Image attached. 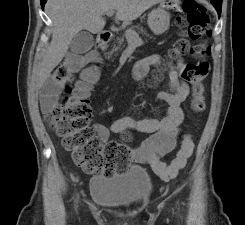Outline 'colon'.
Returning <instances> with one entry per match:
<instances>
[{
  "label": "colon",
  "mask_w": 245,
  "mask_h": 225,
  "mask_svg": "<svg viewBox=\"0 0 245 225\" xmlns=\"http://www.w3.org/2000/svg\"><path fill=\"white\" fill-rule=\"evenodd\" d=\"M180 11L183 16L177 19V24L182 33L187 32L193 40H201V43L194 46L191 51L195 57L194 63L190 64L183 74V77L193 85L192 109L199 112L204 107L203 79L210 67L205 57L209 51L206 40L211 30L205 9L196 1L184 0ZM189 51L190 45L184 37L177 40L171 54L154 71L155 81L162 80L164 68L168 63ZM84 56L85 54H76L65 60L45 83L49 93L59 92L61 96L51 111V116L55 121L56 135L61 139L62 144L72 152L75 163L85 171L108 176L125 172L130 154L129 147L124 143L113 141H109L105 146L100 144L90 126L92 110L87 103V88L83 82L70 84L74 71ZM90 77L91 73L84 74V79L87 80ZM128 133H124L126 140H130ZM192 152L193 143L188 136H185L180 149L170 163L155 162V172L165 180L173 179L185 166Z\"/></svg>",
  "instance_id": "obj_1"
}]
</instances>
